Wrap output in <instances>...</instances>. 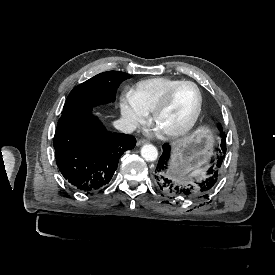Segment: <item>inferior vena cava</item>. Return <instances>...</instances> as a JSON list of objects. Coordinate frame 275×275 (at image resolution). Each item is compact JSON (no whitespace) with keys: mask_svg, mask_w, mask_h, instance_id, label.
I'll list each match as a JSON object with an SVG mask.
<instances>
[{"mask_svg":"<svg viewBox=\"0 0 275 275\" xmlns=\"http://www.w3.org/2000/svg\"><path fill=\"white\" fill-rule=\"evenodd\" d=\"M114 126L116 129L121 130L123 133H132L136 126L133 123L125 122L124 120H117L114 122Z\"/></svg>","mask_w":275,"mask_h":275,"instance_id":"602c4592","label":"inferior vena cava"}]
</instances>
